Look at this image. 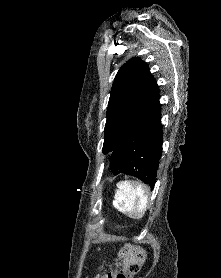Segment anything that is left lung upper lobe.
I'll list each match as a JSON object with an SVG mask.
<instances>
[{
	"mask_svg": "<svg viewBox=\"0 0 221 278\" xmlns=\"http://www.w3.org/2000/svg\"><path fill=\"white\" fill-rule=\"evenodd\" d=\"M158 91L148 65L135 57L116 74L107 108L103 153H111Z\"/></svg>",
	"mask_w": 221,
	"mask_h": 278,
	"instance_id": "obj_1",
	"label": "left lung upper lobe"
}]
</instances>
